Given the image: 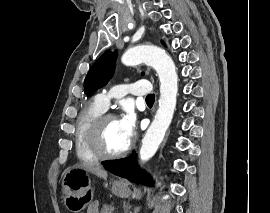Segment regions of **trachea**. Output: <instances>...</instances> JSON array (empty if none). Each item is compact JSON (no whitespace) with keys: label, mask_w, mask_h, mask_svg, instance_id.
<instances>
[{"label":"trachea","mask_w":270,"mask_h":213,"mask_svg":"<svg viewBox=\"0 0 270 213\" xmlns=\"http://www.w3.org/2000/svg\"><path fill=\"white\" fill-rule=\"evenodd\" d=\"M155 100V95L154 94H150L146 97V102L149 103V102H154Z\"/></svg>","instance_id":"obj_1"}]
</instances>
